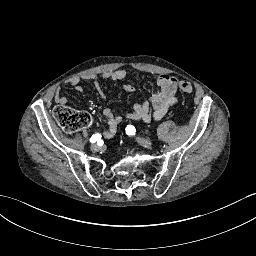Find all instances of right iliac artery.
<instances>
[{
	"mask_svg": "<svg viewBox=\"0 0 256 256\" xmlns=\"http://www.w3.org/2000/svg\"><path fill=\"white\" fill-rule=\"evenodd\" d=\"M101 138V135L100 134H95V135H93L91 138H90V142L91 143H94V142H96L98 139H100Z\"/></svg>",
	"mask_w": 256,
	"mask_h": 256,
	"instance_id": "82829eb1",
	"label": "right iliac artery"
}]
</instances>
